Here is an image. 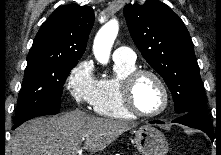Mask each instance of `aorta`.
Segmentation results:
<instances>
[{
    "instance_id": "762f6f07",
    "label": "aorta",
    "mask_w": 221,
    "mask_h": 155,
    "mask_svg": "<svg viewBox=\"0 0 221 155\" xmlns=\"http://www.w3.org/2000/svg\"><path fill=\"white\" fill-rule=\"evenodd\" d=\"M119 25L116 20H111L106 23L97 33L93 52L95 58L101 64H107L111 52L112 45L118 34Z\"/></svg>"
}]
</instances>
